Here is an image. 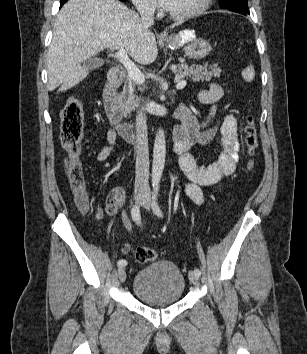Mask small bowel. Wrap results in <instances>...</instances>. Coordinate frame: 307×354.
I'll return each mask as SVG.
<instances>
[{"mask_svg": "<svg viewBox=\"0 0 307 354\" xmlns=\"http://www.w3.org/2000/svg\"><path fill=\"white\" fill-rule=\"evenodd\" d=\"M226 89L217 83H212L208 89L198 93V100L211 106L210 113L203 121L187 107L179 106L176 114L182 119V124L174 129V152L178 157L179 166L186 175L188 182L184 186L185 194L196 204L204 202L202 187H218L221 181L231 175L239 161V138L237 133L236 118L232 114L226 115L220 125L221 129V154L218 161L208 165L199 166L193 158L192 149L196 144L208 143L216 126H211L216 105L226 94ZM117 131L114 127L105 134L106 144L98 152L96 159L106 161L114 150L117 141ZM126 191L123 187L112 189L106 198L105 209L109 214H114L126 202Z\"/></svg>", "mask_w": 307, "mask_h": 354, "instance_id": "obj_1", "label": "small bowel"}]
</instances>
